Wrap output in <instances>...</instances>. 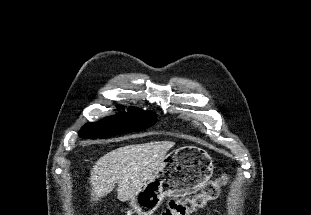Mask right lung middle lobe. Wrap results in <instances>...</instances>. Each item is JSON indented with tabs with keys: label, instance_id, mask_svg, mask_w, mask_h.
<instances>
[{
	"label": "right lung middle lobe",
	"instance_id": "right-lung-middle-lobe-1",
	"mask_svg": "<svg viewBox=\"0 0 311 215\" xmlns=\"http://www.w3.org/2000/svg\"><path fill=\"white\" fill-rule=\"evenodd\" d=\"M156 123V116L138 108H131L128 113H120L98 124L87 123L80 130L82 138H107L110 136L144 130Z\"/></svg>",
	"mask_w": 311,
	"mask_h": 215
}]
</instances>
